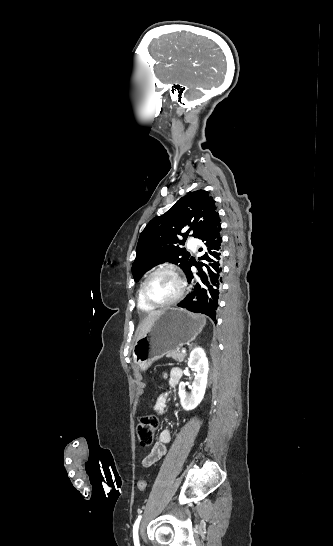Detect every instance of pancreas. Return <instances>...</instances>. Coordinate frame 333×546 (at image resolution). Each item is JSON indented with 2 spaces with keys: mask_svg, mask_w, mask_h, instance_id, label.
Returning a JSON list of instances; mask_svg holds the SVG:
<instances>
[{
  "mask_svg": "<svg viewBox=\"0 0 333 546\" xmlns=\"http://www.w3.org/2000/svg\"><path fill=\"white\" fill-rule=\"evenodd\" d=\"M168 357H171L172 359L176 360L177 362H182L185 358V353H182L181 350L175 349L167 354Z\"/></svg>",
  "mask_w": 333,
  "mask_h": 546,
  "instance_id": "cf45deb5",
  "label": "pancreas"
}]
</instances>
